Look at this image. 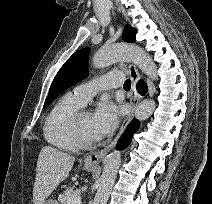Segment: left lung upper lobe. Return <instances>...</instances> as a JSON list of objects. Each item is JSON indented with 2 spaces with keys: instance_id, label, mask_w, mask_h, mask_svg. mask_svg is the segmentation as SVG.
<instances>
[{
  "instance_id": "obj_1",
  "label": "left lung upper lobe",
  "mask_w": 212,
  "mask_h": 204,
  "mask_svg": "<svg viewBox=\"0 0 212 204\" xmlns=\"http://www.w3.org/2000/svg\"><path fill=\"white\" fill-rule=\"evenodd\" d=\"M136 34L137 30L135 28L126 25L122 39L125 42L134 43L136 41ZM88 53L89 48L78 50L65 62L50 86L44 107H47L62 91L88 76Z\"/></svg>"
}]
</instances>
